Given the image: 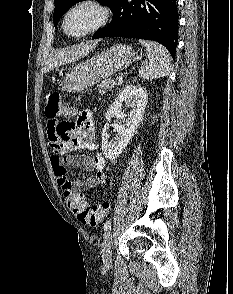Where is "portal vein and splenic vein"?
<instances>
[{
  "instance_id": "portal-vein-and-splenic-vein-1",
  "label": "portal vein and splenic vein",
  "mask_w": 233,
  "mask_h": 294,
  "mask_svg": "<svg viewBox=\"0 0 233 294\" xmlns=\"http://www.w3.org/2000/svg\"><path fill=\"white\" fill-rule=\"evenodd\" d=\"M116 80H117V81H122V80H123V77H122V76H118V77L116 78Z\"/></svg>"
}]
</instances>
